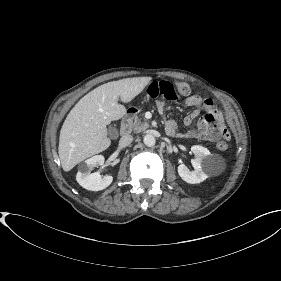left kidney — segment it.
<instances>
[{
  "instance_id": "5707ae66",
  "label": "left kidney",
  "mask_w": 281,
  "mask_h": 281,
  "mask_svg": "<svg viewBox=\"0 0 281 281\" xmlns=\"http://www.w3.org/2000/svg\"><path fill=\"white\" fill-rule=\"evenodd\" d=\"M195 158L191 160L193 171H190L184 164L178 166L179 176L189 184H197L204 181L208 177V171L211 166L210 151L199 145L191 147Z\"/></svg>"
}]
</instances>
